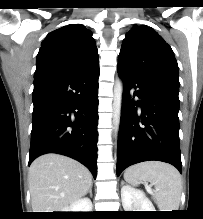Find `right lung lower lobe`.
I'll return each instance as SVG.
<instances>
[{
	"mask_svg": "<svg viewBox=\"0 0 203 219\" xmlns=\"http://www.w3.org/2000/svg\"><path fill=\"white\" fill-rule=\"evenodd\" d=\"M99 67L34 78L29 164L58 153L84 164L96 178Z\"/></svg>",
	"mask_w": 203,
	"mask_h": 219,
	"instance_id": "98d812e1",
	"label": "right lung lower lobe"
}]
</instances>
